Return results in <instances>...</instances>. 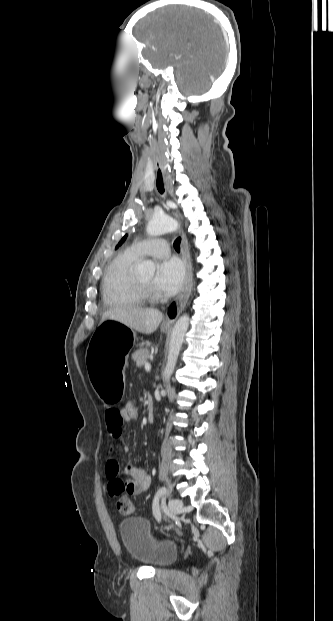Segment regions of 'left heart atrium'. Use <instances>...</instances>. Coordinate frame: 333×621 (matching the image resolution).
<instances>
[{"label":"left heart atrium","mask_w":333,"mask_h":621,"mask_svg":"<svg viewBox=\"0 0 333 621\" xmlns=\"http://www.w3.org/2000/svg\"><path fill=\"white\" fill-rule=\"evenodd\" d=\"M184 279L183 264L174 258L167 259L162 261L157 268L154 287L166 294H172L183 286Z\"/></svg>","instance_id":"left-heart-atrium-1"}]
</instances>
